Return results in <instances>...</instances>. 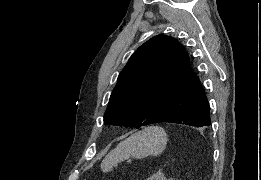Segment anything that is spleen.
Returning a JSON list of instances; mask_svg holds the SVG:
<instances>
[{"label": "spleen", "mask_w": 261, "mask_h": 180, "mask_svg": "<svg viewBox=\"0 0 261 180\" xmlns=\"http://www.w3.org/2000/svg\"><path fill=\"white\" fill-rule=\"evenodd\" d=\"M167 144L166 132L160 126H148L142 132L132 134L123 142L118 144L115 150H112L106 156V168L103 172H110L113 166L129 160V158H147V156H160L163 154Z\"/></svg>", "instance_id": "3e777b00"}]
</instances>
